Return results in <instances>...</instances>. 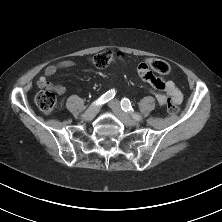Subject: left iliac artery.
I'll list each match as a JSON object with an SVG mask.
<instances>
[{"instance_id": "1", "label": "left iliac artery", "mask_w": 222, "mask_h": 222, "mask_svg": "<svg viewBox=\"0 0 222 222\" xmlns=\"http://www.w3.org/2000/svg\"><path fill=\"white\" fill-rule=\"evenodd\" d=\"M121 108H122L123 111L130 113L131 116H132L135 120H137V121L141 120V116L138 115V114H136V113H134V110H133V108H132V106H131V102H130L129 99L123 98V99L121 100Z\"/></svg>"}]
</instances>
